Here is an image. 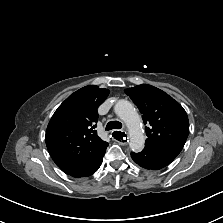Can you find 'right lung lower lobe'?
<instances>
[{
	"label": "right lung lower lobe",
	"mask_w": 223,
	"mask_h": 223,
	"mask_svg": "<svg viewBox=\"0 0 223 223\" xmlns=\"http://www.w3.org/2000/svg\"><path fill=\"white\" fill-rule=\"evenodd\" d=\"M104 154L105 153H103L98 159H96L89 166H87V167H85V168H83L81 170L75 171V172H73V173H71L69 175H71L72 177H77V178H80V177H83V176H87L88 177V176L92 175L101 166Z\"/></svg>",
	"instance_id": "right-lung-lower-lobe-1"
}]
</instances>
